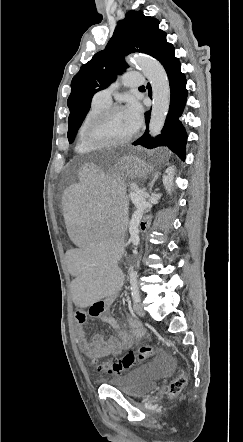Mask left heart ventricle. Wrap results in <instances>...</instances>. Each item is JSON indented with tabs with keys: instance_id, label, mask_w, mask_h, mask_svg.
I'll list each match as a JSON object with an SVG mask.
<instances>
[{
	"instance_id": "left-heart-ventricle-1",
	"label": "left heart ventricle",
	"mask_w": 243,
	"mask_h": 442,
	"mask_svg": "<svg viewBox=\"0 0 243 442\" xmlns=\"http://www.w3.org/2000/svg\"><path fill=\"white\" fill-rule=\"evenodd\" d=\"M134 132L124 110L113 113L104 122L98 124L93 134L99 141H117Z\"/></svg>"
}]
</instances>
